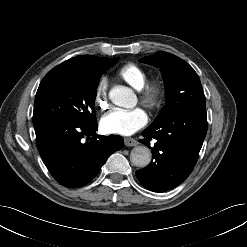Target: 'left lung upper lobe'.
<instances>
[{
  "instance_id": "obj_1",
  "label": "left lung upper lobe",
  "mask_w": 247,
  "mask_h": 247,
  "mask_svg": "<svg viewBox=\"0 0 247 247\" xmlns=\"http://www.w3.org/2000/svg\"><path fill=\"white\" fill-rule=\"evenodd\" d=\"M140 61L159 67L165 81L166 104L150 126L157 125L179 113L206 110L200 79L184 60L167 52H156Z\"/></svg>"
}]
</instances>
